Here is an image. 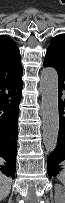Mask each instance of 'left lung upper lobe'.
Here are the masks:
<instances>
[{"mask_svg":"<svg viewBox=\"0 0 65 203\" xmlns=\"http://www.w3.org/2000/svg\"><path fill=\"white\" fill-rule=\"evenodd\" d=\"M51 50H57L64 55L65 58V35H58L51 40L48 47Z\"/></svg>","mask_w":65,"mask_h":203,"instance_id":"1","label":"left lung upper lobe"}]
</instances>
